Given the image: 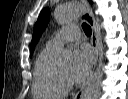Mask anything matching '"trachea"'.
<instances>
[{
	"instance_id": "obj_1",
	"label": "trachea",
	"mask_w": 128,
	"mask_h": 99,
	"mask_svg": "<svg viewBox=\"0 0 128 99\" xmlns=\"http://www.w3.org/2000/svg\"><path fill=\"white\" fill-rule=\"evenodd\" d=\"M82 28L86 35H91L92 30H91V27L87 23H83Z\"/></svg>"
}]
</instances>
